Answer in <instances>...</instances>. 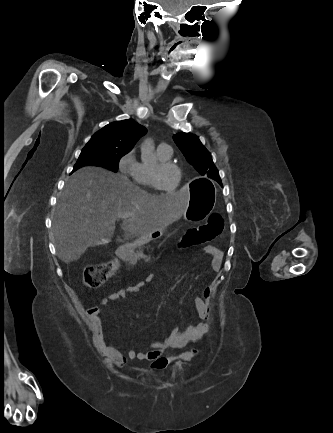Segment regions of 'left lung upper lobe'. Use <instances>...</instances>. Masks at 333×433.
<instances>
[{
    "instance_id": "5c2ea615",
    "label": "left lung upper lobe",
    "mask_w": 333,
    "mask_h": 433,
    "mask_svg": "<svg viewBox=\"0 0 333 433\" xmlns=\"http://www.w3.org/2000/svg\"><path fill=\"white\" fill-rule=\"evenodd\" d=\"M173 139L187 161L193 165L201 175L208 176L221 183L211 154L202 145L197 136L183 132L174 135Z\"/></svg>"
}]
</instances>
